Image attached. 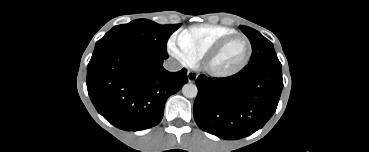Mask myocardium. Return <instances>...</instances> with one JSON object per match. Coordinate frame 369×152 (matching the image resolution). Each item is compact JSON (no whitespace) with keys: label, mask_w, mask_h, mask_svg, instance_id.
Here are the masks:
<instances>
[{"label":"myocardium","mask_w":369,"mask_h":152,"mask_svg":"<svg viewBox=\"0 0 369 152\" xmlns=\"http://www.w3.org/2000/svg\"><path fill=\"white\" fill-rule=\"evenodd\" d=\"M241 38L245 40L247 44V53L244 60L237 66L235 69L222 72L217 71L211 67V61L213 58L232 40ZM252 43L250 39L242 34V33H234L228 36L223 37L219 41H217L214 45H212L201 57L199 62L200 69L205 72L207 75L214 78H229L240 73L249 63L252 56Z\"/></svg>","instance_id":"f54148a6"}]
</instances>
